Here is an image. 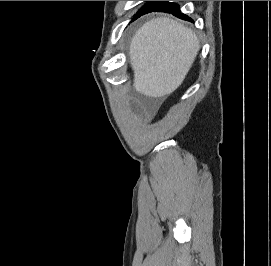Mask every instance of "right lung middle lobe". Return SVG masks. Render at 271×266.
<instances>
[{"label": "right lung middle lobe", "instance_id": "dd1d6c3e", "mask_svg": "<svg viewBox=\"0 0 271 266\" xmlns=\"http://www.w3.org/2000/svg\"><path fill=\"white\" fill-rule=\"evenodd\" d=\"M161 1H149L140 11L135 15V17H139L141 14L147 12L148 10L154 8L156 5H158ZM134 20V19H133Z\"/></svg>", "mask_w": 271, "mask_h": 266}]
</instances>
